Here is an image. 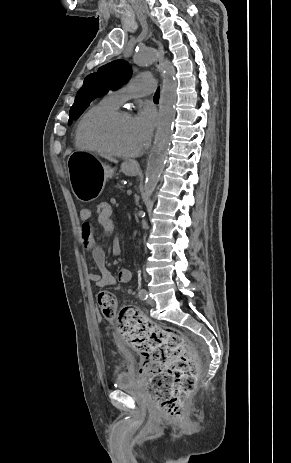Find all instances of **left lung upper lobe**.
<instances>
[{
    "instance_id": "left-lung-upper-lobe-1",
    "label": "left lung upper lobe",
    "mask_w": 291,
    "mask_h": 463,
    "mask_svg": "<svg viewBox=\"0 0 291 463\" xmlns=\"http://www.w3.org/2000/svg\"><path fill=\"white\" fill-rule=\"evenodd\" d=\"M130 74L131 68L126 61L115 60L100 67L98 72L88 75L70 109L69 123L77 119L95 98L126 83Z\"/></svg>"
}]
</instances>
